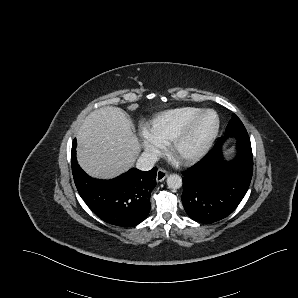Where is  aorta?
Returning <instances> with one entry per match:
<instances>
[{
    "label": "aorta",
    "instance_id": "762f6f07",
    "mask_svg": "<svg viewBox=\"0 0 298 298\" xmlns=\"http://www.w3.org/2000/svg\"><path fill=\"white\" fill-rule=\"evenodd\" d=\"M166 184L170 189H179L183 185V180L179 174L173 173L167 176Z\"/></svg>",
    "mask_w": 298,
    "mask_h": 298
}]
</instances>
